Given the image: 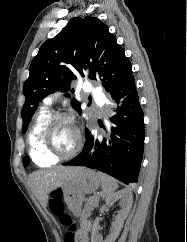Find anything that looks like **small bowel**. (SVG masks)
<instances>
[{
	"label": "small bowel",
	"instance_id": "1",
	"mask_svg": "<svg viewBox=\"0 0 187 242\" xmlns=\"http://www.w3.org/2000/svg\"><path fill=\"white\" fill-rule=\"evenodd\" d=\"M91 230V223L87 220L83 221L76 234L79 242H88V235Z\"/></svg>",
	"mask_w": 187,
	"mask_h": 242
}]
</instances>
